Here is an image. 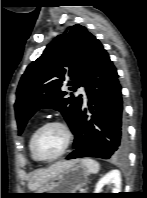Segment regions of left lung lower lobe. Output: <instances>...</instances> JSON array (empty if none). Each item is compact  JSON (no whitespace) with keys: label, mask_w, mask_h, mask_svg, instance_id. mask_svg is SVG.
<instances>
[{"label":"left lung lower lobe","mask_w":147,"mask_h":198,"mask_svg":"<svg viewBox=\"0 0 147 198\" xmlns=\"http://www.w3.org/2000/svg\"><path fill=\"white\" fill-rule=\"evenodd\" d=\"M88 110L79 113L74 150L66 159L123 157L127 152V132L118 74L102 44L95 39L85 84Z\"/></svg>","instance_id":"obj_1"}]
</instances>
